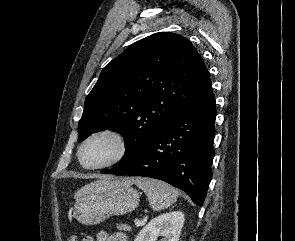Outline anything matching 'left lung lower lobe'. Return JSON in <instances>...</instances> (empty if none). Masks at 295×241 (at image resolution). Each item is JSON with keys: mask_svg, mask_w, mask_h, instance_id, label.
<instances>
[{"mask_svg": "<svg viewBox=\"0 0 295 241\" xmlns=\"http://www.w3.org/2000/svg\"><path fill=\"white\" fill-rule=\"evenodd\" d=\"M215 118L211 91L169 120L131 160L102 173L160 179L202 206L212 177Z\"/></svg>", "mask_w": 295, "mask_h": 241, "instance_id": "0a47b994", "label": "left lung lower lobe"}]
</instances>
